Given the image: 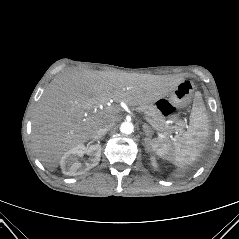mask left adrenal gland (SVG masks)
Here are the masks:
<instances>
[{
  "label": "left adrenal gland",
  "instance_id": "obj_1",
  "mask_svg": "<svg viewBox=\"0 0 239 239\" xmlns=\"http://www.w3.org/2000/svg\"><path fill=\"white\" fill-rule=\"evenodd\" d=\"M143 131L146 136L144 139L145 146L147 147V149H149V143L151 141L153 131H152L151 127L147 124H143Z\"/></svg>",
  "mask_w": 239,
  "mask_h": 239
}]
</instances>
